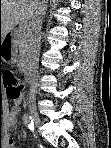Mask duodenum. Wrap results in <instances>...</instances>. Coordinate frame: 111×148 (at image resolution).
I'll use <instances>...</instances> for the list:
<instances>
[{
    "label": "duodenum",
    "mask_w": 111,
    "mask_h": 148,
    "mask_svg": "<svg viewBox=\"0 0 111 148\" xmlns=\"http://www.w3.org/2000/svg\"><path fill=\"white\" fill-rule=\"evenodd\" d=\"M34 80H35V76H34L33 74H31V75H27V77H26V81H27L28 84L33 83Z\"/></svg>",
    "instance_id": "410a0bca"
}]
</instances>
